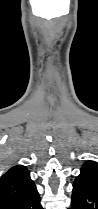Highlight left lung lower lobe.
<instances>
[{"label":"left lung lower lobe","instance_id":"1","mask_svg":"<svg viewBox=\"0 0 98 209\" xmlns=\"http://www.w3.org/2000/svg\"><path fill=\"white\" fill-rule=\"evenodd\" d=\"M70 209H98V188L83 181H74Z\"/></svg>","mask_w":98,"mask_h":209}]
</instances>
